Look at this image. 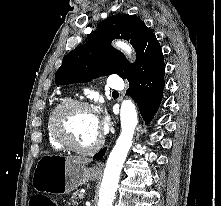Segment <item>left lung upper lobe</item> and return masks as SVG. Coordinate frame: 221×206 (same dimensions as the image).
<instances>
[{
    "label": "left lung upper lobe",
    "mask_w": 221,
    "mask_h": 206,
    "mask_svg": "<svg viewBox=\"0 0 221 206\" xmlns=\"http://www.w3.org/2000/svg\"><path fill=\"white\" fill-rule=\"evenodd\" d=\"M115 38H124L134 46V64L110 46ZM163 69V54L155 35L139 18L118 14L103 21L87 43L63 57L55 80L56 84L66 85L116 73L133 84Z\"/></svg>",
    "instance_id": "obj_1"
}]
</instances>
